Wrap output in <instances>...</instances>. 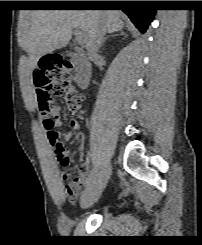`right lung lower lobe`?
I'll return each instance as SVG.
<instances>
[{
    "label": "right lung lower lobe",
    "mask_w": 202,
    "mask_h": 245,
    "mask_svg": "<svg viewBox=\"0 0 202 245\" xmlns=\"http://www.w3.org/2000/svg\"><path fill=\"white\" fill-rule=\"evenodd\" d=\"M81 7H120L141 33L146 32L155 9L148 1H80Z\"/></svg>",
    "instance_id": "right-lung-lower-lobe-1"
}]
</instances>
